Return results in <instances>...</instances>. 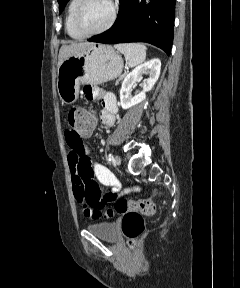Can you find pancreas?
Returning <instances> with one entry per match:
<instances>
[{
  "instance_id": "1",
  "label": "pancreas",
  "mask_w": 240,
  "mask_h": 288,
  "mask_svg": "<svg viewBox=\"0 0 240 288\" xmlns=\"http://www.w3.org/2000/svg\"><path fill=\"white\" fill-rule=\"evenodd\" d=\"M125 75H126V73H124L123 75H121L120 77H119V79L117 80V84L125 77Z\"/></svg>"
}]
</instances>
